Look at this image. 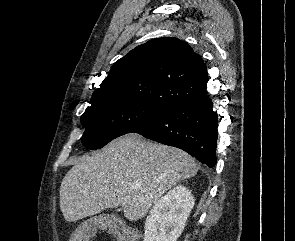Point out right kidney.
Masks as SVG:
<instances>
[{"label":"right kidney","instance_id":"obj_1","mask_svg":"<svg viewBox=\"0 0 295 241\" xmlns=\"http://www.w3.org/2000/svg\"><path fill=\"white\" fill-rule=\"evenodd\" d=\"M194 206V197L185 186L178 185L161 197L145 222L144 241H176Z\"/></svg>","mask_w":295,"mask_h":241}]
</instances>
